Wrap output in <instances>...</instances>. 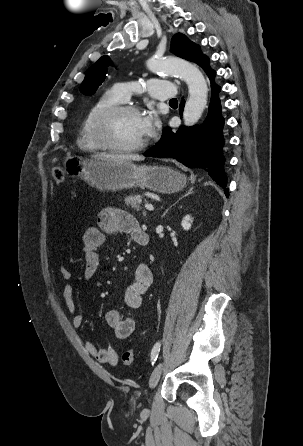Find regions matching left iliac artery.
Returning a JSON list of instances; mask_svg holds the SVG:
<instances>
[{"mask_svg": "<svg viewBox=\"0 0 303 446\" xmlns=\"http://www.w3.org/2000/svg\"><path fill=\"white\" fill-rule=\"evenodd\" d=\"M160 347H161V343L157 342L154 345V347H153V349L151 351V362H152V365H154V363L156 362V360L158 358Z\"/></svg>", "mask_w": 303, "mask_h": 446, "instance_id": "obj_1", "label": "left iliac artery"}]
</instances>
